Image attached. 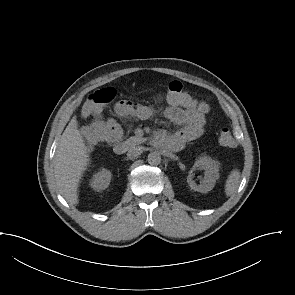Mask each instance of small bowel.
<instances>
[{"instance_id": "1", "label": "small bowel", "mask_w": 295, "mask_h": 295, "mask_svg": "<svg viewBox=\"0 0 295 295\" xmlns=\"http://www.w3.org/2000/svg\"><path fill=\"white\" fill-rule=\"evenodd\" d=\"M169 106L164 109V115L182 128L172 134L159 131L157 138L172 150H179L184 144L199 138L205 130L206 118L203 112L194 105H183L173 98H168ZM115 114L120 118L146 119L152 114V109L138 103L121 100L115 104ZM95 125L105 129V140L115 142L121 138L122 131L114 118L102 119L96 117Z\"/></svg>"}]
</instances>
